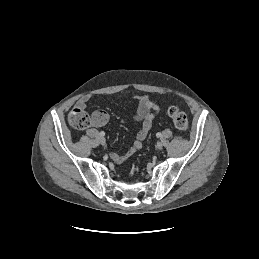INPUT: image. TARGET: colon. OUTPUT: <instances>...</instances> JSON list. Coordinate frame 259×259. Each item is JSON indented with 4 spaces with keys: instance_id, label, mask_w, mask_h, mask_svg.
<instances>
[{
    "instance_id": "obj_1",
    "label": "colon",
    "mask_w": 259,
    "mask_h": 259,
    "mask_svg": "<svg viewBox=\"0 0 259 259\" xmlns=\"http://www.w3.org/2000/svg\"><path fill=\"white\" fill-rule=\"evenodd\" d=\"M168 115L172 119L175 127L180 131L188 129V119L186 114L177 107H170ZM69 123L77 130H84L91 124L89 114L82 108L75 107L69 114Z\"/></svg>"
}]
</instances>
